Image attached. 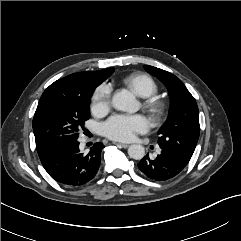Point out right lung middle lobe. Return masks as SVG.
<instances>
[{"label":"right lung middle lobe","instance_id":"obj_1","mask_svg":"<svg viewBox=\"0 0 241 241\" xmlns=\"http://www.w3.org/2000/svg\"><path fill=\"white\" fill-rule=\"evenodd\" d=\"M101 82H88L79 89L54 88L39 101L33 118L37 152L77 140L79 131L89 119V103Z\"/></svg>","mask_w":241,"mask_h":241}]
</instances>
